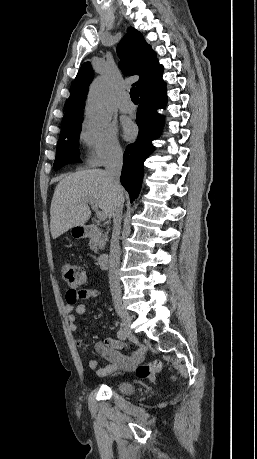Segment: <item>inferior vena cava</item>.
<instances>
[{"label": "inferior vena cava", "instance_id": "obj_1", "mask_svg": "<svg viewBox=\"0 0 257 459\" xmlns=\"http://www.w3.org/2000/svg\"><path fill=\"white\" fill-rule=\"evenodd\" d=\"M123 165V152L121 148L113 150L106 162V174L109 179L111 189L114 194V209H113V232L109 253V284L112 299L115 307L122 305V295L119 280V264H120V247L119 235L121 228V215L123 209V194L120 185V174Z\"/></svg>", "mask_w": 257, "mask_h": 459}]
</instances>
